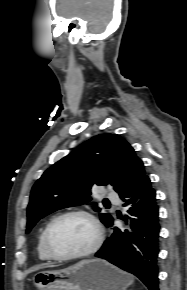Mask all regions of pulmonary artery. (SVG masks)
Instances as JSON below:
<instances>
[{"label":"pulmonary artery","mask_w":187,"mask_h":290,"mask_svg":"<svg viewBox=\"0 0 187 290\" xmlns=\"http://www.w3.org/2000/svg\"><path fill=\"white\" fill-rule=\"evenodd\" d=\"M105 195L111 201H117L118 199L117 193L112 190H106Z\"/></svg>","instance_id":"pulmonary-artery-1"}]
</instances>
